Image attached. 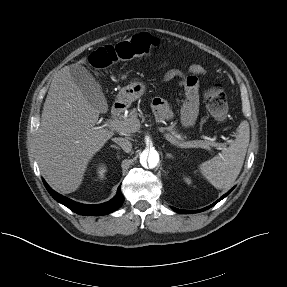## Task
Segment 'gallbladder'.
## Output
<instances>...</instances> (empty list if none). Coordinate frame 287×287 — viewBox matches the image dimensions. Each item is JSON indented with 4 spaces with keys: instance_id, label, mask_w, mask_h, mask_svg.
<instances>
[{
    "instance_id": "obj_1",
    "label": "gallbladder",
    "mask_w": 287,
    "mask_h": 287,
    "mask_svg": "<svg viewBox=\"0 0 287 287\" xmlns=\"http://www.w3.org/2000/svg\"><path fill=\"white\" fill-rule=\"evenodd\" d=\"M69 71L74 84L80 89L83 96L99 111L105 112L108 108L107 101L101 86L92 73L84 66L78 64L70 65Z\"/></svg>"
}]
</instances>
